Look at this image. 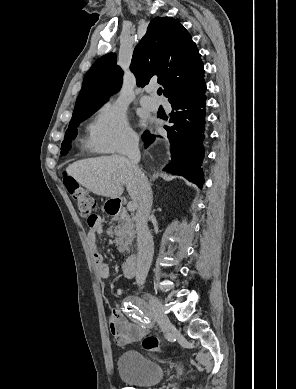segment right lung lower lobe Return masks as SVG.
Here are the masks:
<instances>
[{
	"label": "right lung lower lobe",
	"mask_w": 296,
	"mask_h": 389,
	"mask_svg": "<svg viewBox=\"0 0 296 389\" xmlns=\"http://www.w3.org/2000/svg\"><path fill=\"white\" fill-rule=\"evenodd\" d=\"M206 84L192 91L176 92L168 100L172 106L170 122L173 126L165 127L170 144L171 161L164 171L181 175L200 188L204 183L201 169L205 138V101ZM160 137V136H157ZM145 146L150 145L156 138L146 131L143 136Z\"/></svg>",
	"instance_id": "1"
}]
</instances>
